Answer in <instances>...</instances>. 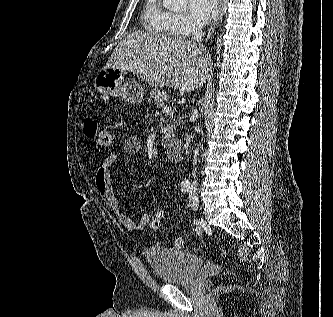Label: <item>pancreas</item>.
Instances as JSON below:
<instances>
[{
  "label": "pancreas",
  "mask_w": 333,
  "mask_h": 317,
  "mask_svg": "<svg viewBox=\"0 0 333 317\" xmlns=\"http://www.w3.org/2000/svg\"><path fill=\"white\" fill-rule=\"evenodd\" d=\"M169 100L168 93L162 89H154L150 93L148 102L153 101L156 107H163L164 102ZM178 122L174 119L173 122L167 127V132L164 135V140L170 141L173 137V130L176 128Z\"/></svg>",
  "instance_id": "1"
}]
</instances>
